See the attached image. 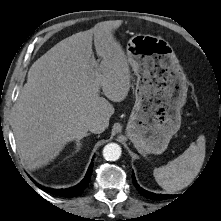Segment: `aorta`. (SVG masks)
I'll use <instances>...</instances> for the list:
<instances>
[{"instance_id":"obj_1","label":"aorta","mask_w":221,"mask_h":221,"mask_svg":"<svg viewBox=\"0 0 221 221\" xmlns=\"http://www.w3.org/2000/svg\"><path fill=\"white\" fill-rule=\"evenodd\" d=\"M121 156V147L116 143H109L103 149V157L107 161H116Z\"/></svg>"}]
</instances>
